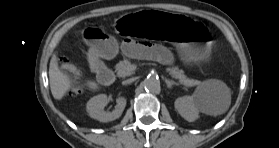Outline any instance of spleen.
Listing matches in <instances>:
<instances>
[{"label":"spleen","mask_w":279,"mask_h":148,"mask_svg":"<svg viewBox=\"0 0 279 148\" xmlns=\"http://www.w3.org/2000/svg\"><path fill=\"white\" fill-rule=\"evenodd\" d=\"M216 86H221L226 89V86L218 80H207V81L203 82L201 84V86L196 90L194 96H196L200 100H203L202 97L209 96L213 91V87H216ZM229 105H230V95L227 91L226 100L220 106L218 113L221 114V113L225 112L228 109Z\"/></svg>","instance_id":"1"}]
</instances>
